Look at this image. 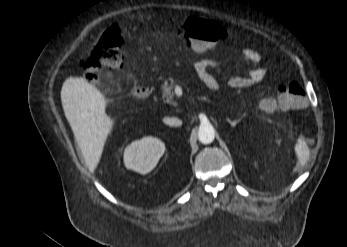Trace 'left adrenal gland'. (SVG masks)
Listing matches in <instances>:
<instances>
[{"label": "left adrenal gland", "mask_w": 347, "mask_h": 247, "mask_svg": "<svg viewBox=\"0 0 347 247\" xmlns=\"http://www.w3.org/2000/svg\"><path fill=\"white\" fill-rule=\"evenodd\" d=\"M241 119H242V117H240V118L237 119V120L231 121L229 118H227L226 121H227L228 123H230V125H231L232 127H235V126L241 121Z\"/></svg>", "instance_id": "left-adrenal-gland-1"}]
</instances>
